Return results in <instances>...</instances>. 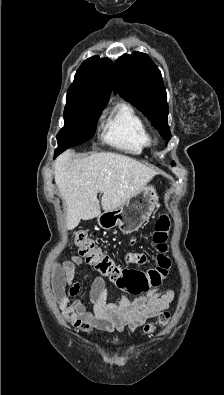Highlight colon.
Segmentation results:
<instances>
[{"label": "colon", "mask_w": 224, "mask_h": 395, "mask_svg": "<svg viewBox=\"0 0 224 395\" xmlns=\"http://www.w3.org/2000/svg\"><path fill=\"white\" fill-rule=\"evenodd\" d=\"M170 230V220L167 214L163 213L158 218L153 239L160 252L167 250L168 233ZM73 241L79 249L80 255L84 260L93 265L98 271L117 282L122 289L131 294H140L151 287L160 285L171 266L170 259L161 254L157 257V265L147 271H140L118 265L108 254L104 253L96 243L88 236L85 231H77L73 236ZM171 314L168 311L162 312L158 320L144 326L143 332L151 334L158 328L169 323Z\"/></svg>", "instance_id": "5ec220e1"}]
</instances>
